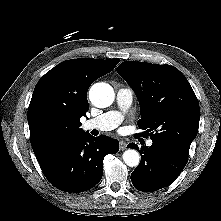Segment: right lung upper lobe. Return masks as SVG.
<instances>
[{"instance_id":"obj_1","label":"right lung upper lobe","mask_w":221,"mask_h":221,"mask_svg":"<svg viewBox=\"0 0 221 221\" xmlns=\"http://www.w3.org/2000/svg\"><path fill=\"white\" fill-rule=\"evenodd\" d=\"M120 59L79 58L64 61L38 81L28 108L31 146L37 160L85 134L80 117L89 109L87 91L111 72Z\"/></svg>"}]
</instances>
